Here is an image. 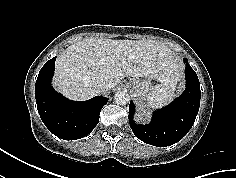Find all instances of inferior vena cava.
<instances>
[{
	"mask_svg": "<svg viewBox=\"0 0 236 178\" xmlns=\"http://www.w3.org/2000/svg\"><path fill=\"white\" fill-rule=\"evenodd\" d=\"M95 87L97 88V92L98 93H102L104 91L107 90L108 88V85H107V82L105 80H98L96 83H95Z\"/></svg>",
	"mask_w": 236,
	"mask_h": 178,
	"instance_id": "602c4592",
	"label": "inferior vena cava"
}]
</instances>
